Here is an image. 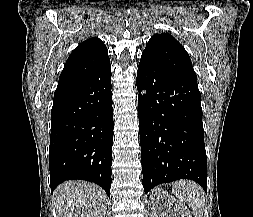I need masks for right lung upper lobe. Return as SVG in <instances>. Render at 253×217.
I'll return each instance as SVG.
<instances>
[{
	"mask_svg": "<svg viewBox=\"0 0 253 217\" xmlns=\"http://www.w3.org/2000/svg\"><path fill=\"white\" fill-rule=\"evenodd\" d=\"M110 63L108 50L97 37L82 42L68 57L59 84L86 77Z\"/></svg>",
	"mask_w": 253,
	"mask_h": 217,
	"instance_id": "obj_1",
	"label": "right lung upper lobe"
}]
</instances>
